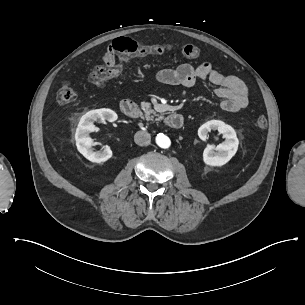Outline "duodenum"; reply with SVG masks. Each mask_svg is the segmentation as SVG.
<instances>
[{"label": "duodenum", "mask_w": 305, "mask_h": 305, "mask_svg": "<svg viewBox=\"0 0 305 305\" xmlns=\"http://www.w3.org/2000/svg\"><path fill=\"white\" fill-rule=\"evenodd\" d=\"M120 109L123 115L131 118L139 117L141 114V110L137 103L131 100H123L120 104ZM183 122V117L178 113H169L165 117V123L171 129L181 128Z\"/></svg>", "instance_id": "obj_1"}]
</instances>
